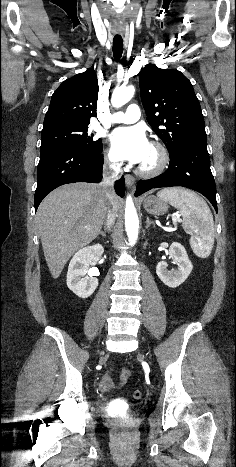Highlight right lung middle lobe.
Segmentation results:
<instances>
[{
  "label": "right lung middle lobe",
  "instance_id": "dd1d6c3e",
  "mask_svg": "<svg viewBox=\"0 0 236 467\" xmlns=\"http://www.w3.org/2000/svg\"><path fill=\"white\" fill-rule=\"evenodd\" d=\"M88 125H60L43 129L40 152L55 147H75L90 152H101V139L94 140Z\"/></svg>",
  "mask_w": 236,
  "mask_h": 467
}]
</instances>
